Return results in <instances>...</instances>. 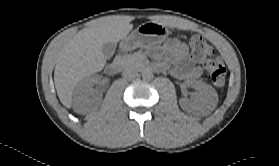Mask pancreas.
<instances>
[{
    "mask_svg": "<svg viewBox=\"0 0 279 166\" xmlns=\"http://www.w3.org/2000/svg\"><path fill=\"white\" fill-rule=\"evenodd\" d=\"M120 61L123 67L128 68V67H140L143 64V61L140 59L139 56L136 54H128L124 56H120Z\"/></svg>",
    "mask_w": 279,
    "mask_h": 166,
    "instance_id": "1",
    "label": "pancreas"
}]
</instances>
